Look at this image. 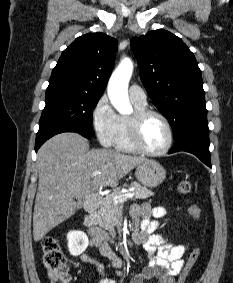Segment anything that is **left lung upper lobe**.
<instances>
[{
    "mask_svg": "<svg viewBox=\"0 0 233 283\" xmlns=\"http://www.w3.org/2000/svg\"><path fill=\"white\" fill-rule=\"evenodd\" d=\"M131 46L148 95L168 119L175 141L208 132L201 70L194 54L174 34L158 29L134 37Z\"/></svg>",
    "mask_w": 233,
    "mask_h": 283,
    "instance_id": "5c2ea615",
    "label": "left lung upper lobe"
}]
</instances>
